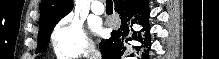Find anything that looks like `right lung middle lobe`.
I'll return each mask as SVG.
<instances>
[{"instance_id": "obj_1", "label": "right lung middle lobe", "mask_w": 219, "mask_h": 59, "mask_svg": "<svg viewBox=\"0 0 219 59\" xmlns=\"http://www.w3.org/2000/svg\"><path fill=\"white\" fill-rule=\"evenodd\" d=\"M57 22L58 21L51 23L44 28H39L38 45L35 51L36 54L44 52V50L47 48L48 42L50 40V34Z\"/></svg>"}]
</instances>
